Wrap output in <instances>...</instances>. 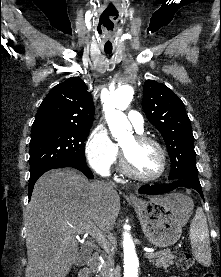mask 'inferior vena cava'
<instances>
[{
	"mask_svg": "<svg viewBox=\"0 0 221 277\" xmlns=\"http://www.w3.org/2000/svg\"><path fill=\"white\" fill-rule=\"evenodd\" d=\"M107 185H108L110 188H114V187H115V184H114L112 181L108 182Z\"/></svg>",
	"mask_w": 221,
	"mask_h": 277,
	"instance_id": "1",
	"label": "inferior vena cava"
}]
</instances>
